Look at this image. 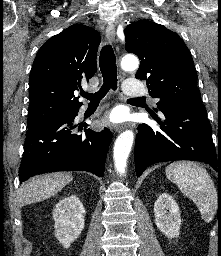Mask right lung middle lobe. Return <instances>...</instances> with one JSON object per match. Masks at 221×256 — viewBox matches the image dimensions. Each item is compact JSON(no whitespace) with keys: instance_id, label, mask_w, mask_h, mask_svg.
<instances>
[{"instance_id":"1","label":"right lung middle lobe","mask_w":221,"mask_h":256,"mask_svg":"<svg viewBox=\"0 0 221 256\" xmlns=\"http://www.w3.org/2000/svg\"><path fill=\"white\" fill-rule=\"evenodd\" d=\"M65 114H61V115H57V116H52L50 113H46V114H36L34 116L28 117V123H27V127L31 128L34 127L42 122H45L51 118H55V117H59V116H63Z\"/></svg>"}]
</instances>
